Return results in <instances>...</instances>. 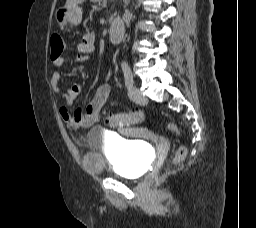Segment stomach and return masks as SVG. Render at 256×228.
<instances>
[{"instance_id": "obj_1", "label": "stomach", "mask_w": 256, "mask_h": 228, "mask_svg": "<svg viewBox=\"0 0 256 228\" xmlns=\"http://www.w3.org/2000/svg\"><path fill=\"white\" fill-rule=\"evenodd\" d=\"M55 19L61 27L77 26L82 20V8L78 5L61 7L55 12Z\"/></svg>"}]
</instances>
